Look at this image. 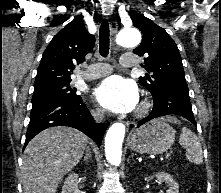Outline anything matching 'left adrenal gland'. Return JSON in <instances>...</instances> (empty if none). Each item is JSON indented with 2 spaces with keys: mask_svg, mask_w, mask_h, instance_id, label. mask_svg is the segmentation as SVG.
Returning a JSON list of instances; mask_svg holds the SVG:
<instances>
[{
  "mask_svg": "<svg viewBox=\"0 0 221 193\" xmlns=\"http://www.w3.org/2000/svg\"><path fill=\"white\" fill-rule=\"evenodd\" d=\"M133 154H131V156L129 157V159H132L134 161V158H133ZM135 162V161H134Z\"/></svg>",
  "mask_w": 221,
  "mask_h": 193,
  "instance_id": "a2214340",
  "label": "left adrenal gland"
}]
</instances>
